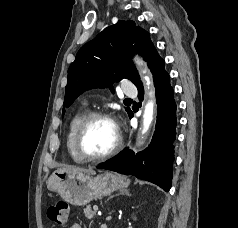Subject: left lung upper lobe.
Here are the masks:
<instances>
[{
    "instance_id": "5c2ea615",
    "label": "left lung upper lobe",
    "mask_w": 238,
    "mask_h": 228,
    "mask_svg": "<svg viewBox=\"0 0 238 228\" xmlns=\"http://www.w3.org/2000/svg\"><path fill=\"white\" fill-rule=\"evenodd\" d=\"M154 51L149 33L135 26L131 20H121L105 28L80 48L70 65L64 107L70 106L81 93L92 88L109 87L114 92L112 84L122 79L138 85L140 77L130 55L138 53L148 61ZM126 111L131 113L129 108Z\"/></svg>"
}]
</instances>
